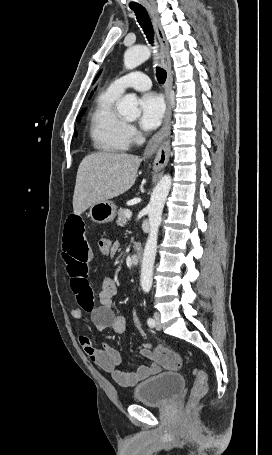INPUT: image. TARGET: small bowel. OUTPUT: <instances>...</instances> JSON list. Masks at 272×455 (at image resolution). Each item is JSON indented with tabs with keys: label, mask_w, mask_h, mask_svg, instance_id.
Listing matches in <instances>:
<instances>
[{
	"label": "small bowel",
	"mask_w": 272,
	"mask_h": 455,
	"mask_svg": "<svg viewBox=\"0 0 272 455\" xmlns=\"http://www.w3.org/2000/svg\"><path fill=\"white\" fill-rule=\"evenodd\" d=\"M119 248V242L110 244L109 255H115ZM62 251L63 260L70 277L71 290L77 302V307L70 311L72 318L81 322L84 314H89L99 331L111 329L117 334H124L126 332L125 318L116 314L113 309V298L117 293V284L109 275L102 279L98 305L94 302L88 276V265L93 257V252L85 236V223L80 216L71 215L66 220ZM134 323L140 331L143 330L136 315L134 316ZM79 343L87 356L102 370L111 374L113 380L123 387L134 386L160 371L158 363L141 365L135 371L122 370L120 369L121 355L115 348L107 344H104L102 349L96 348L86 334L80 335ZM140 355L144 358H152L149 343H144L140 347Z\"/></svg>",
	"instance_id": "1"
}]
</instances>
